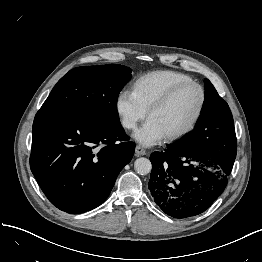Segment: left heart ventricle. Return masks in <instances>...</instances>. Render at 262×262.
Listing matches in <instances>:
<instances>
[{"label":"left heart ventricle","mask_w":262,"mask_h":262,"mask_svg":"<svg viewBox=\"0 0 262 262\" xmlns=\"http://www.w3.org/2000/svg\"><path fill=\"white\" fill-rule=\"evenodd\" d=\"M200 101L199 91L187 87L179 91L162 109L151 115L165 136L183 129L194 116Z\"/></svg>","instance_id":"obj_1"}]
</instances>
